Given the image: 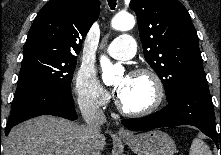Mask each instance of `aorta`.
Masks as SVG:
<instances>
[{
	"instance_id": "762f6f07",
	"label": "aorta",
	"mask_w": 221,
	"mask_h": 155,
	"mask_svg": "<svg viewBox=\"0 0 221 155\" xmlns=\"http://www.w3.org/2000/svg\"><path fill=\"white\" fill-rule=\"evenodd\" d=\"M112 28L119 31H128L135 25L134 17L130 14H117L111 22ZM102 80L104 83L113 82L120 66L113 65L106 56H101Z\"/></svg>"
}]
</instances>
